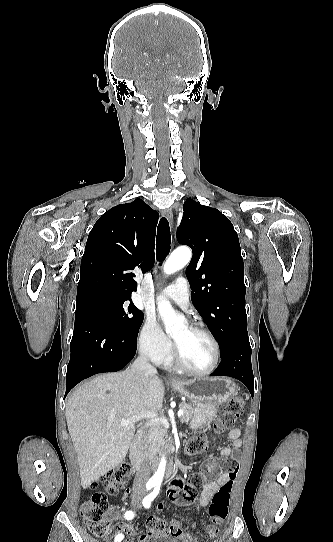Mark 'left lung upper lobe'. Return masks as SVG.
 Masks as SVG:
<instances>
[{"instance_id":"1","label":"left lung upper lobe","mask_w":333,"mask_h":542,"mask_svg":"<svg viewBox=\"0 0 333 542\" xmlns=\"http://www.w3.org/2000/svg\"><path fill=\"white\" fill-rule=\"evenodd\" d=\"M177 240L193 250L186 268L191 300L215 334L220 354L238 337L248 336L244 268L232 223L215 208L187 199Z\"/></svg>"}]
</instances>
